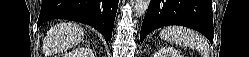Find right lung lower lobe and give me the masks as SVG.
I'll list each match as a JSON object with an SVG mask.
<instances>
[{"label": "right lung lower lobe", "mask_w": 249, "mask_h": 57, "mask_svg": "<svg viewBox=\"0 0 249 57\" xmlns=\"http://www.w3.org/2000/svg\"><path fill=\"white\" fill-rule=\"evenodd\" d=\"M117 8L118 0H43L37 26L51 19L81 22L100 31L109 43Z\"/></svg>", "instance_id": "right-lung-lower-lobe-1"}]
</instances>
